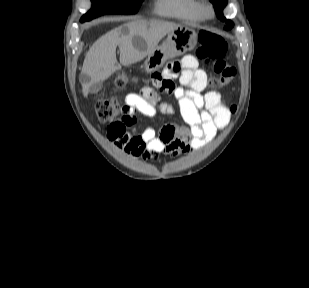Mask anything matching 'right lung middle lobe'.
<instances>
[{
  "label": "right lung middle lobe",
  "mask_w": 309,
  "mask_h": 288,
  "mask_svg": "<svg viewBox=\"0 0 309 288\" xmlns=\"http://www.w3.org/2000/svg\"><path fill=\"white\" fill-rule=\"evenodd\" d=\"M92 9L83 15L81 22L92 20L104 14H135L143 0H91Z\"/></svg>",
  "instance_id": "dd1d6c3e"
}]
</instances>
